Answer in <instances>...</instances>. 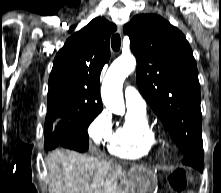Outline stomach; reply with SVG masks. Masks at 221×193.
<instances>
[{
    "label": "stomach",
    "instance_id": "obj_1",
    "mask_svg": "<svg viewBox=\"0 0 221 193\" xmlns=\"http://www.w3.org/2000/svg\"><path fill=\"white\" fill-rule=\"evenodd\" d=\"M130 174L132 185L126 189L128 193H147L153 188L156 179H159V174H152L153 167L149 164H131Z\"/></svg>",
    "mask_w": 221,
    "mask_h": 193
}]
</instances>
